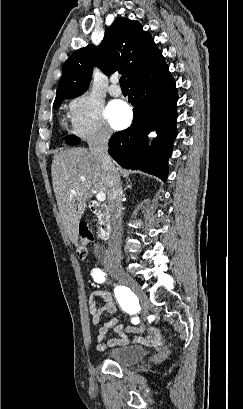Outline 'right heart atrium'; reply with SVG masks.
<instances>
[{"label": "right heart atrium", "mask_w": 243, "mask_h": 409, "mask_svg": "<svg viewBox=\"0 0 243 409\" xmlns=\"http://www.w3.org/2000/svg\"><path fill=\"white\" fill-rule=\"evenodd\" d=\"M70 131L87 141H106L111 137V129L104 119L102 106L87 92L75 95L68 109Z\"/></svg>", "instance_id": "right-heart-atrium-1"}]
</instances>
